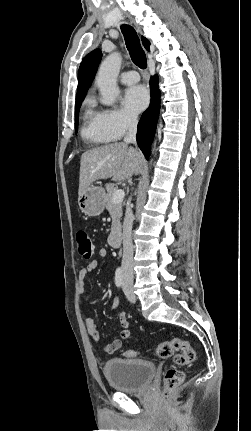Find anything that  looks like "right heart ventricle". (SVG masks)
I'll use <instances>...</instances> for the list:
<instances>
[{
  "label": "right heart ventricle",
  "mask_w": 251,
  "mask_h": 431,
  "mask_svg": "<svg viewBox=\"0 0 251 431\" xmlns=\"http://www.w3.org/2000/svg\"><path fill=\"white\" fill-rule=\"evenodd\" d=\"M82 137L90 142L104 144L113 138L106 132L101 122V115L96 111L91 100H87L83 113Z\"/></svg>",
  "instance_id": "obj_1"
}]
</instances>
